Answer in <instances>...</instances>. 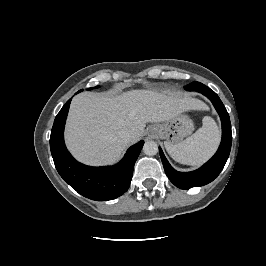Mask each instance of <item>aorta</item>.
I'll return each instance as SVG.
<instances>
[{"mask_svg":"<svg viewBox=\"0 0 266 266\" xmlns=\"http://www.w3.org/2000/svg\"><path fill=\"white\" fill-rule=\"evenodd\" d=\"M143 152L148 156H153L158 153V144L155 141H147L143 145Z\"/></svg>","mask_w":266,"mask_h":266,"instance_id":"obj_1","label":"aorta"}]
</instances>
